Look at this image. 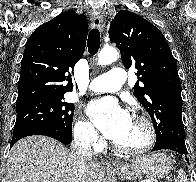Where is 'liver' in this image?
I'll list each match as a JSON object with an SVG mask.
<instances>
[{
    "label": "liver",
    "instance_id": "obj_1",
    "mask_svg": "<svg viewBox=\"0 0 196 182\" xmlns=\"http://www.w3.org/2000/svg\"><path fill=\"white\" fill-rule=\"evenodd\" d=\"M6 171V182H102L104 176V168L91 160L75 173L70 151L41 135L21 139L11 148Z\"/></svg>",
    "mask_w": 196,
    "mask_h": 182
}]
</instances>
